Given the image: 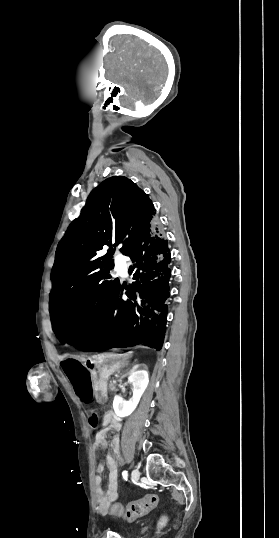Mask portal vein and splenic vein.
Listing matches in <instances>:
<instances>
[{
	"instance_id": "18ae733b",
	"label": "portal vein and splenic vein",
	"mask_w": 279,
	"mask_h": 538,
	"mask_svg": "<svg viewBox=\"0 0 279 538\" xmlns=\"http://www.w3.org/2000/svg\"><path fill=\"white\" fill-rule=\"evenodd\" d=\"M113 383H116V380H113Z\"/></svg>"
}]
</instances>
